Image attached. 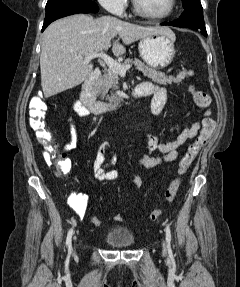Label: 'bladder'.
Returning a JSON list of instances; mask_svg holds the SVG:
<instances>
[{
	"label": "bladder",
	"instance_id": "31cf9c89",
	"mask_svg": "<svg viewBox=\"0 0 240 287\" xmlns=\"http://www.w3.org/2000/svg\"><path fill=\"white\" fill-rule=\"evenodd\" d=\"M105 241L115 248L131 247L135 244V238L132 232L126 227H115L110 229L105 237Z\"/></svg>",
	"mask_w": 240,
	"mask_h": 287
}]
</instances>
